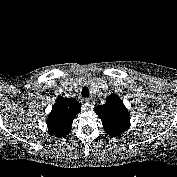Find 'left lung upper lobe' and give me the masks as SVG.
Returning <instances> with one entry per match:
<instances>
[{
  "mask_svg": "<svg viewBox=\"0 0 177 177\" xmlns=\"http://www.w3.org/2000/svg\"><path fill=\"white\" fill-rule=\"evenodd\" d=\"M94 111L99 115L105 132L112 137H119L129 129L130 117L123 101L116 94L107 98L105 105L95 107Z\"/></svg>",
  "mask_w": 177,
  "mask_h": 177,
  "instance_id": "5c2ea615",
  "label": "left lung upper lobe"
}]
</instances>
